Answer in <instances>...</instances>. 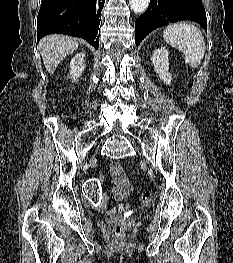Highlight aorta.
Wrapping results in <instances>:
<instances>
[{
	"label": "aorta",
	"mask_w": 233,
	"mask_h": 263,
	"mask_svg": "<svg viewBox=\"0 0 233 263\" xmlns=\"http://www.w3.org/2000/svg\"><path fill=\"white\" fill-rule=\"evenodd\" d=\"M150 0H130V6L134 13H143L149 5Z\"/></svg>",
	"instance_id": "1"
}]
</instances>
